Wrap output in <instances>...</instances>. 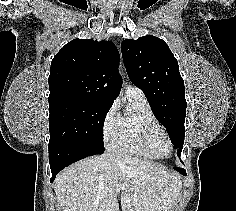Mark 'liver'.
<instances>
[{"instance_id":"1","label":"liver","mask_w":236,"mask_h":211,"mask_svg":"<svg viewBox=\"0 0 236 211\" xmlns=\"http://www.w3.org/2000/svg\"><path fill=\"white\" fill-rule=\"evenodd\" d=\"M167 211L180 179L166 167L125 154L106 153L81 160L54 181L60 211Z\"/></svg>"}]
</instances>
